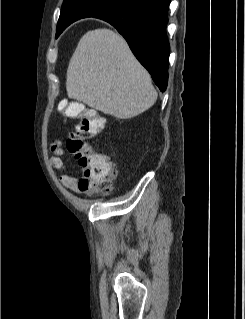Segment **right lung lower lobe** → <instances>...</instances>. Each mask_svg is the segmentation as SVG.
<instances>
[{
  "mask_svg": "<svg viewBox=\"0 0 245 319\" xmlns=\"http://www.w3.org/2000/svg\"><path fill=\"white\" fill-rule=\"evenodd\" d=\"M171 0H126L94 17L113 25L163 92L168 82L170 46L166 34Z\"/></svg>",
  "mask_w": 245,
  "mask_h": 319,
  "instance_id": "right-lung-lower-lobe-1",
  "label": "right lung lower lobe"
}]
</instances>
